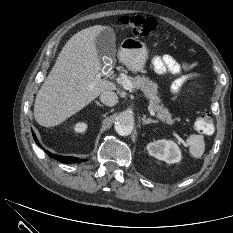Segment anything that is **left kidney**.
<instances>
[{
  "instance_id": "left-kidney-1",
  "label": "left kidney",
  "mask_w": 233,
  "mask_h": 233,
  "mask_svg": "<svg viewBox=\"0 0 233 233\" xmlns=\"http://www.w3.org/2000/svg\"><path fill=\"white\" fill-rule=\"evenodd\" d=\"M149 154L168 164L177 163L181 160L182 155L178 145L171 140H157L147 145Z\"/></svg>"
}]
</instances>
